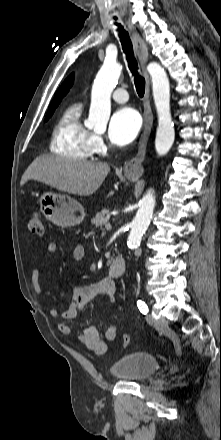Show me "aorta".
Returning <instances> with one entry per match:
<instances>
[{"instance_id":"aorta-1","label":"aorta","mask_w":221,"mask_h":440,"mask_svg":"<svg viewBox=\"0 0 221 440\" xmlns=\"http://www.w3.org/2000/svg\"><path fill=\"white\" fill-rule=\"evenodd\" d=\"M122 67L117 63L105 62L98 72L91 94V105L86 122L88 127L104 129L111 113V94L121 74ZM147 70L151 76L152 91L158 115L155 149L158 155L168 153L175 138L174 123L170 112V85L165 70L156 62H151ZM155 207L153 190L143 196L140 207L132 222L127 244L130 248L140 245Z\"/></svg>"}]
</instances>
